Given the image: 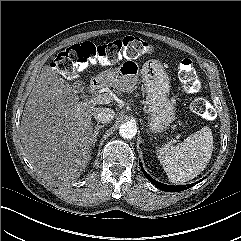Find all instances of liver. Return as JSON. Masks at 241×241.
Listing matches in <instances>:
<instances>
[{
	"instance_id": "liver-1",
	"label": "liver",
	"mask_w": 241,
	"mask_h": 241,
	"mask_svg": "<svg viewBox=\"0 0 241 241\" xmlns=\"http://www.w3.org/2000/svg\"><path fill=\"white\" fill-rule=\"evenodd\" d=\"M77 94L75 83L70 85L45 65L24 107L20 124L24 154L51 184L77 180L91 159L97 107L79 102Z\"/></svg>"
}]
</instances>
